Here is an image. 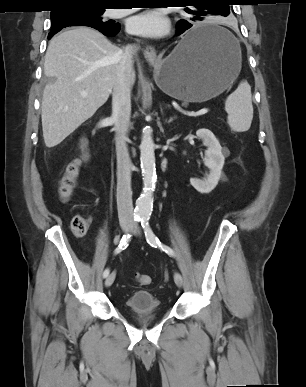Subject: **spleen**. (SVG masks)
I'll return each mask as SVG.
<instances>
[{
    "instance_id": "spleen-1",
    "label": "spleen",
    "mask_w": 306,
    "mask_h": 387,
    "mask_svg": "<svg viewBox=\"0 0 306 387\" xmlns=\"http://www.w3.org/2000/svg\"><path fill=\"white\" fill-rule=\"evenodd\" d=\"M228 114L227 122L236 132L247 131L253 119L251 87L247 81H242L238 88L225 101Z\"/></svg>"
}]
</instances>
